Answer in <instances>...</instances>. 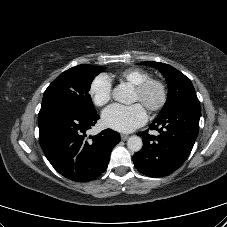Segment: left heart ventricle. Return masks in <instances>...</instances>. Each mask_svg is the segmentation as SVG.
<instances>
[{
    "label": "left heart ventricle",
    "mask_w": 227,
    "mask_h": 227,
    "mask_svg": "<svg viewBox=\"0 0 227 227\" xmlns=\"http://www.w3.org/2000/svg\"><path fill=\"white\" fill-rule=\"evenodd\" d=\"M158 97L159 93L156 88H152L145 96H140L134 91L133 102H140L143 106L147 107L148 104L156 102Z\"/></svg>",
    "instance_id": "left-heart-ventricle-1"
}]
</instances>
